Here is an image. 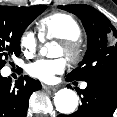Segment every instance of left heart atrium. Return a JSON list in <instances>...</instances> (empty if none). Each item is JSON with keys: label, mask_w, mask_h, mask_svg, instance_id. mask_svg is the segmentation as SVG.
Listing matches in <instances>:
<instances>
[{"label": "left heart atrium", "mask_w": 117, "mask_h": 117, "mask_svg": "<svg viewBox=\"0 0 117 117\" xmlns=\"http://www.w3.org/2000/svg\"><path fill=\"white\" fill-rule=\"evenodd\" d=\"M67 67L65 58L39 59L28 65V74L45 83H53L56 76L62 74Z\"/></svg>", "instance_id": "39dd6f15"}]
</instances>
